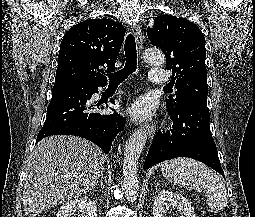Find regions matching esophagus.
Wrapping results in <instances>:
<instances>
[{"mask_svg":"<svg viewBox=\"0 0 255 217\" xmlns=\"http://www.w3.org/2000/svg\"><path fill=\"white\" fill-rule=\"evenodd\" d=\"M132 30L139 48L143 49V35L140 26L134 25ZM143 126L148 131L149 139H152L155 134V126L146 123Z\"/></svg>","mask_w":255,"mask_h":217,"instance_id":"esophagus-1","label":"esophagus"}]
</instances>
